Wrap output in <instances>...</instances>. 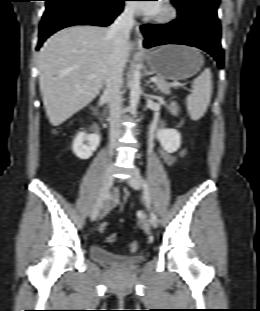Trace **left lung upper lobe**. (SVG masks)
<instances>
[{
  "instance_id": "obj_1",
  "label": "left lung upper lobe",
  "mask_w": 260,
  "mask_h": 311,
  "mask_svg": "<svg viewBox=\"0 0 260 311\" xmlns=\"http://www.w3.org/2000/svg\"><path fill=\"white\" fill-rule=\"evenodd\" d=\"M178 8V14L201 12L209 17L218 20L217 8L219 0H171Z\"/></svg>"
}]
</instances>
